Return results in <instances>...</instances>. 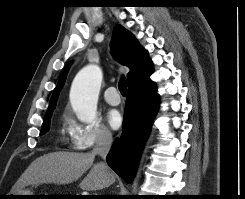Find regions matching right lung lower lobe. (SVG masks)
Here are the masks:
<instances>
[{
	"mask_svg": "<svg viewBox=\"0 0 245 199\" xmlns=\"http://www.w3.org/2000/svg\"><path fill=\"white\" fill-rule=\"evenodd\" d=\"M158 109L154 83L143 88H128L123 132L107 155L108 165L126 182H131L141 149Z\"/></svg>",
	"mask_w": 245,
	"mask_h": 199,
	"instance_id": "98d812e1",
	"label": "right lung lower lobe"
}]
</instances>
